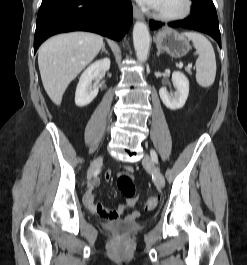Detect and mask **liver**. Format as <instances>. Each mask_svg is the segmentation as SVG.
Here are the masks:
<instances>
[{"label":"liver","instance_id":"1","mask_svg":"<svg viewBox=\"0 0 247 265\" xmlns=\"http://www.w3.org/2000/svg\"><path fill=\"white\" fill-rule=\"evenodd\" d=\"M103 37L94 33L72 32L51 37L38 52L44 89L60 105L68 85L98 55Z\"/></svg>","mask_w":247,"mask_h":265}]
</instances>
